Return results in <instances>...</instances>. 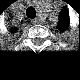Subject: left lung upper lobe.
Here are the masks:
<instances>
[{
    "label": "left lung upper lobe",
    "mask_w": 80,
    "mask_h": 80,
    "mask_svg": "<svg viewBox=\"0 0 80 80\" xmlns=\"http://www.w3.org/2000/svg\"><path fill=\"white\" fill-rule=\"evenodd\" d=\"M67 15L66 13H62L60 16V23H59V27L62 29V27H66L67 24Z\"/></svg>",
    "instance_id": "5c2ea615"
}]
</instances>
